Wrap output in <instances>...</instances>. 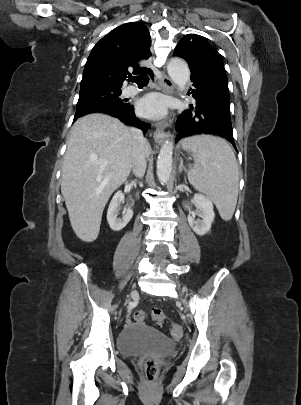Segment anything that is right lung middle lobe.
Listing matches in <instances>:
<instances>
[{"mask_svg": "<svg viewBox=\"0 0 301 405\" xmlns=\"http://www.w3.org/2000/svg\"><path fill=\"white\" fill-rule=\"evenodd\" d=\"M121 89L96 87L80 90L75 115H83L95 109L127 107L119 96Z\"/></svg>", "mask_w": 301, "mask_h": 405, "instance_id": "right-lung-middle-lobe-1", "label": "right lung middle lobe"}]
</instances>
